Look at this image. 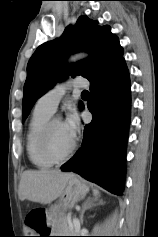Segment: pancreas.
Instances as JSON below:
<instances>
[{
  "label": "pancreas",
  "instance_id": "cf45deb5",
  "mask_svg": "<svg viewBox=\"0 0 158 237\" xmlns=\"http://www.w3.org/2000/svg\"><path fill=\"white\" fill-rule=\"evenodd\" d=\"M52 235H69L75 236L79 233V228L72 224L71 216L61 217L51 228Z\"/></svg>",
  "mask_w": 158,
  "mask_h": 237
}]
</instances>
